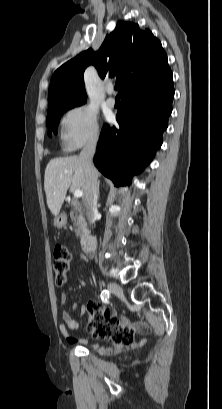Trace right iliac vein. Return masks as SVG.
<instances>
[{
	"mask_svg": "<svg viewBox=\"0 0 222 409\" xmlns=\"http://www.w3.org/2000/svg\"><path fill=\"white\" fill-rule=\"evenodd\" d=\"M107 287L110 292L119 296L123 295V290L117 283L110 282L108 283Z\"/></svg>",
	"mask_w": 222,
	"mask_h": 409,
	"instance_id": "63e3f726",
	"label": "right iliac vein"
}]
</instances>
